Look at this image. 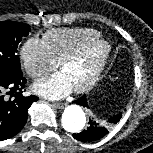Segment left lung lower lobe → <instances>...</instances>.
Segmentation results:
<instances>
[{"label":"left lung lower lobe","instance_id":"0a47b994","mask_svg":"<svg viewBox=\"0 0 153 153\" xmlns=\"http://www.w3.org/2000/svg\"><path fill=\"white\" fill-rule=\"evenodd\" d=\"M74 103L79 104L84 107H88L86 101V95H83L79 99L75 100ZM122 113L114 115L108 119V124L106 126L101 125L94 119L89 120V126L86 130L80 133L73 134V137L81 142H92L104 137L108 133L109 126L116 124L121 119Z\"/></svg>","mask_w":153,"mask_h":153}]
</instances>
